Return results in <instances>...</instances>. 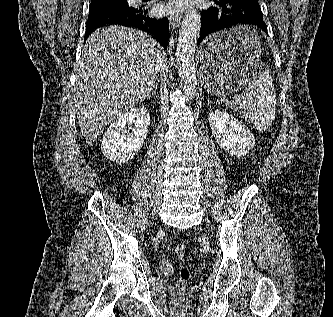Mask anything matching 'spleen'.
<instances>
[{
	"mask_svg": "<svg viewBox=\"0 0 333 317\" xmlns=\"http://www.w3.org/2000/svg\"><path fill=\"white\" fill-rule=\"evenodd\" d=\"M241 28L242 43L253 47L259 40L258 34L249 26ZM230 108L250 120L258 131L265 132L271 126L276 113V92L269 70H260L244 87L241 95L230 103Z\"/></svg>",
	"mask_w": 333,
	"mask_h": 317,
	"instance_id": "3e777b00",
	"label": "spleen"
}]
</instances>
